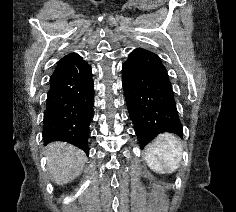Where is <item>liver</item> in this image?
I'll use <instances>...</instances> for the list:
<instances>
[{
    "label": "liver",
    "instance_id": "6515ba94",
    "mask_svg": "<svg viewBox=\"0 0 236 212\" xmlns=\"http://www.w3.org/2000/svg\"><path fill=\"white\" fill-rule=\"evenodd\" d=\"M51 180L64 185L76 179L87 158L83 151L65 142H53L45 152Z\"/></svg>",
    "mask_w": 236,
    "mask_h": 212
}]
</instances>
